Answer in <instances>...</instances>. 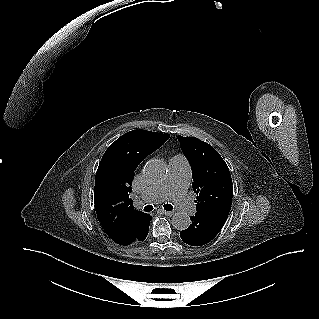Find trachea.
Segmentation results:
<instances>
[{
  "label": "trachea",
  "mask_w": 319,
  "mask_h": 319,
  "mask_svg": "<svg viewBox=\"0 0 319 319\" xmlns=\"http://www.w3.org/2000/svg\"><path fill=\"white\" fill-rule=\"evenodd\" d=\"M164 209L166 211H171L173 209V207L170 204H166V205H164ZM152 210H153V206H151V205H147V206L144 207V211L145 212H150Z\"/></svg>",
  "instance_id": "1"
}]
</instances>
